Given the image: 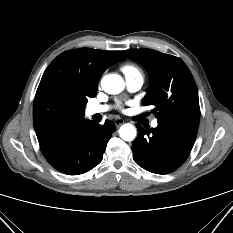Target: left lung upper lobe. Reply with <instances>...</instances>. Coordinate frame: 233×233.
<instances>
[{"mask_svg": "<svg viewBox=\"0 0 233 233\" xmlns=\"http://www.w3.org/2000/svg\"><path fill=\"white\" fill-rule=\"evenodd\" d=\"M123 53L146 68L150 85L142 103L155 107L153 113L158 123L199 124L197 86L180 58L145 48L125 50Z\"/></svg>", "mask_w": 233, "mask_h": 233, "instance_id": "left-lung-upper-lobe-1", "label": "left lung upper lobe"}]
</instances>
